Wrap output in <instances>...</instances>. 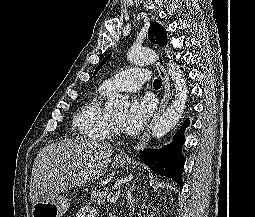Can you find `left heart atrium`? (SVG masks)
Instances as JSON below:
<instances>
[{
	"instance_id": "left-heart-atrium-1",
	"label": "left heart atrium",
	"mask_w": 255,
	"mask_h": 217,
	"mask_svg": "<svg viewBox=\"0 0 255 217\" xmlns=\"http://www.w3.org/2000/svg\"><path fill=\"white\" fill-rule=\"evenodd\" d=\"M153 112V104L149 99H133L129 109L120 122L121 129L129 134L139 133Z\"/></svg>"
}]
</instances>
